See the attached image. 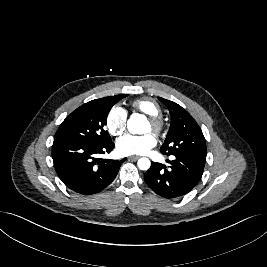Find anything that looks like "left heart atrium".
<instances>
[{
  "label": "left heart atrium",
  "mask_w": 267,
  "mask_h": 267,
  "mask_svg": "<svg viewBox=\"0 0 267 267\" xmlns=\"http://www.w3.org/2000/svg\"><path fill=\"white\" fill-rule=\"evenodd\" d=\"M156 144V137L151 133L144 135L126 134L117 140L116 148L121 155H143L147 154Z\"/></svg>",
  "instance_id": "obj_1"
}]
</instances>
